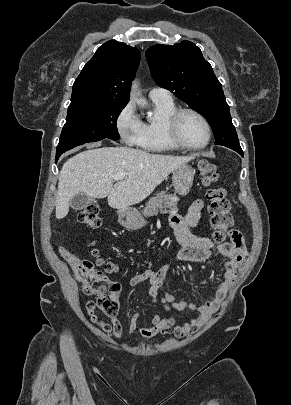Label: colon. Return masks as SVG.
Listing matches in <instances>:
<instances>
[{
  "mask_svg": "<svg viewBox=\"0 0 291 405\" xmlns=\"http://www.w3.org/2000/svg\"><path fill=\"white\" fill-rule=\"evenodd\" d=\"M198 171L202 176L203 183L210 187L207 192V199L209 200L210 223L214 229L213 239L217 243H225L227 230L232 224L230 203L226 198V191L214 186L219 178L218 170L214 164L202 159L198 162ZM76 222L89 229H97L102 223L96 207L85 208L77 215ZM60 252L78 282L81 283L84 293L96 296L97 306L106 315H115L119 308L120 285L111 280L106 273L115 272L116 266L113 263L99 260L98 263L104 266L105 273L95 269L92 262L78 258L65 248H61Z\"/></svg>",
  "mask_w": 291,
  "mask_h": 405,
  "instance_id": "obj_1",
  "label": "colon"
}]
</instances>
